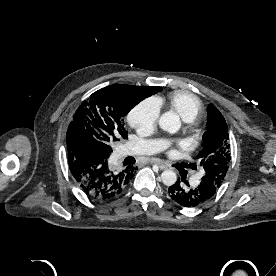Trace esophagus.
<instances>
[{"label":"esophagus","instance_id":"esophagus-1","mask_svg":"<svg viewBox=\"0 0 276 276\" xmlns=\"http://www.w3.org/2000/svg\"><path fill=\"white\" fill-rule=\"evenodd\" d=\"M150 162L158 165L161 170H165L168 168L167 163H165L164 161H161L159 159H151Z\"/></svg>","mask_w":276,"mask_h":276}]
</instances>
